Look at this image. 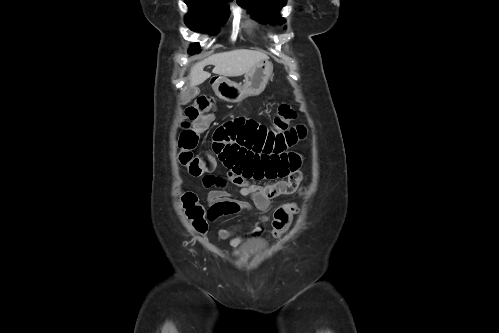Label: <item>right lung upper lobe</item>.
<instances>
[{
  "label": "right lung upper lobe",
  "mask_w": 499,
  "mask_h": 333,
  "mask_svg": "<svg viewBox=\"0 0 499 333\" xmlns=\"http://www.w3.org/2000/svg\"><path fill=\"white\" fill-rule=\"evenodd\" d=\"M214 1H223V2H228V1H232V0H214Z\"/></svg>",
  "instance_id": "1"
}]
</instances>
